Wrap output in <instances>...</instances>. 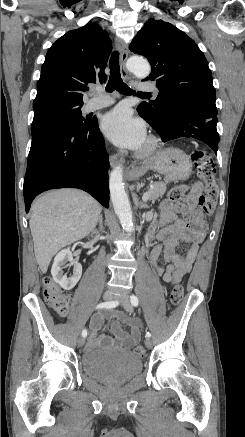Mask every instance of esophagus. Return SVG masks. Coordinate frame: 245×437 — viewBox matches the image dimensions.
Masks as SVG:
<instances>
[{
    "instance_id": "esophagus-1",
    "label": "esophagus",
    "mask_w": 245,
    "mask_h": 437,
    "mask_svg": "<svg viewBox=\"0 0 245 437\" xmlns=\"http://www.w3.org/2000/svg\"><path fill=\"white\" fill-rule=\"evenodd\" d=\"M118 47L120 49V65H121V73L125 79H128L129 74L126 70L125 64L128 58V45L122 40H117ZM119 161V156L117 154H113L110 157V165L114 167Z\"/></svg>"
}]
</instances>
